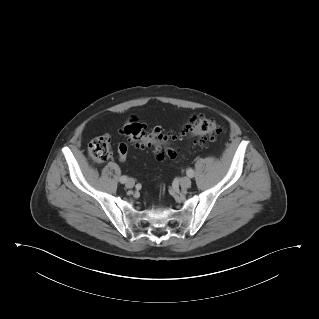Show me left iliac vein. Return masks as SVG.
<instances>
[{"mask_svg":"<svg viewBox=\"0 0 319 319\" xmlns=\"http://www.w3.org/2000/svg\"><path fill=\"white\" fill-rule=\"evenodd\" d=\"M180 184L182 188H189L191 186V180L188 177H182L180 180Z\"/></svg>","mask_w":319,"mask_h":319,"instance_id":"4c4485c4","label":"left iliac vein"}]
</instances>
